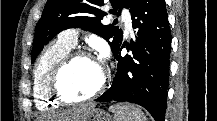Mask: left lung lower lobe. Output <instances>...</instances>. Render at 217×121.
<instances>
[{"mask_svg": "<svg viewBox=\"0 0 217 121\" xmlns=\"http://www.w3.org/2000/svg\"><path fill=\"white\" fill-rule=\"evenodd\" d=\"M129 8L136 40L121 42L114 53L118 61L115 80L95 101L136 103L156 121H164L171 52L165 1L133 0ZM124 47L131 55L121 56Z\"/></svg>", "mask_w": 217, "mask_h": 121, "instance_id": "left-lung-lower-lobe-1", "label": "left lung lower lobe"}]
</instances>
